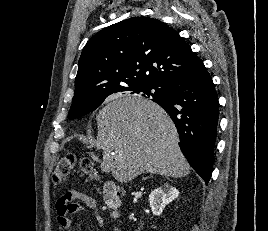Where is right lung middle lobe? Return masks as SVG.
Here are the masks:
<instances>
[{
	"mask_svg": "<svg viewBox=\"0 0 268 231\" xmlns=\"http://www.w3.org/2000/svg\"><path fill=\"white\" fill-rule=\"evenodd\" d=\"M118 92L122 93H128V94H139L143 92L144 97H152L153 99L159 98L163 96V88L159 85L154 84H144L139 86H132V87H126L124 89H121ZM105 100V98L98 100L92 104L88 105H82L77 103H72L68 118L69 119H75L80 116H84L92 111H94L97 107H99L102 102Z\"/></svg>",
	"mask_w": 268,
	"mask_h": 231,
	"instance_id": "dd1d6c3e",
	"label": "right lung middle lobe"
}]
</instances>
